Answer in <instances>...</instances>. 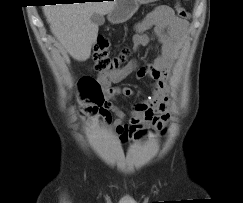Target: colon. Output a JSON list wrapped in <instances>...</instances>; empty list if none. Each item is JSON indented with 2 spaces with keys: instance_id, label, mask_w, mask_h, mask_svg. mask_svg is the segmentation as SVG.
<instances>
[{
  "instance_id": "obj_1",
  "label": "colon",
  "mask_w": 243,
  "mask_h": 203,
  "mask_svg": "<svg viewBox=\"0 0 243 203\" xmlns=\"http://www.w3.org/2000/svg\"><path fill=\"white\" fill-rule=\"evenodd\" d=\"M176 11L181 19H188V11L181 5H176ZM110 42L104 37H98L93 49V68L98 72H114L119 70L127 61L130 50L128 47H122L114 54L110 55ZM78 88L81 97L85 102V111L92 113L99 111L104 103V90L99 82L92 76H82L78 81Z\"/></svg>"
}]
</instances>
